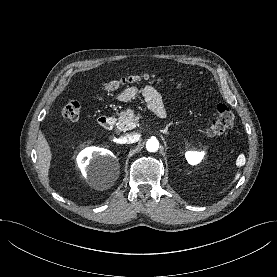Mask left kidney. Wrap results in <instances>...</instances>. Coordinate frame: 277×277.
<instances>
[{
	"mask_svg": "<svg viewBox=\"0 0 277 277\" xmlns=\"http://www.w3.org/2000/svg\"><path fill=\"white\" fill-rule=\"evenodd\" d=\"M185 156H186L187 161L191 165H196V164L200 163V161L202 160V158L204 156V152L187 151L185 153Z\"/></svg>",
	"mask_w": 277,
	"mask_h": 277,
	"instance_id": "left-kidney-1",
	"label": "left kidney"
}]
</instances>
